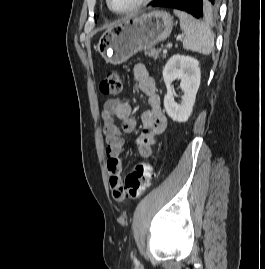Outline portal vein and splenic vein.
I'll return each mask as SVG.
<instances>
[{"label":"portal vein and splenic vein","mask_w":265,"mask_h":269,"mask_svg":"<svg viewBox=\"0 0 265 269\" xmlns=\"http://www.w3.org/2000/svg\"><path fill=\"white\" fill-rule=\"evenodd\" d=\"M180 37H183V35H180ZM167 48H168V49L172 48V43H168V44H167ZM163 52H164V53H167V49H164Z\"/></svg>","instance_id":"obj_1"}]
</instances>
